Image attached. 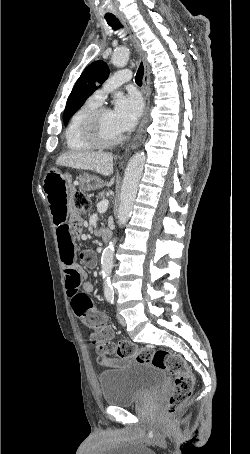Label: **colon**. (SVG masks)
I'll use <instances>...</instances> for the list:
<instances>
[{"label":"colon","instance_id":"5ec220e1","mask_svg":"<svg viewBox=\"0 0 250 454\" xmlns=\"http://www.w3.org/2000/svg\"><path fill=\"white\" fill-rule=\"evenodd\" d=\"M90 209L88 196L77 191L74 195L73 217H80ZM87 326L92 330L90 340L102 356L116 355L120 358L134 357L139 362H149L154 367L164 370L173 377V389L167 403L169 415L176 414L192 394L195 378L184 358L164 349L139 348L129 341L112 343L113 330L108 325L107 317L102 314H92Z\"/></svg>","mask_w":250,"mask_h":454}]
</instances>
